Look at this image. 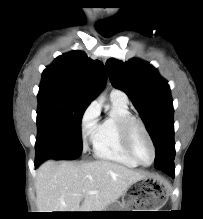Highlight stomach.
Masks as SVG:
<instances>
[{"label": "stomach", "mask_w": 203, "mask_h": 219, "mask_svg": "<svg viewBox=\"0 0 203 219\" xmlns=\"http://www.w3.org/2000/svg\"><path fill=\"white\" fill-rule=\"evenodd\" d=\"M125 192L122 202H113L103 211H158L168 198L166 185L156 178L147 176L137 180ZM144 210H130V209ZM103 216L115 215L113 212H105Z\"/></svg>", "instance_id": "1"}]
</instances>
